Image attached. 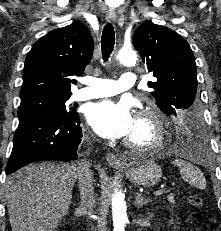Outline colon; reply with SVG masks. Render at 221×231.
Returning <instances> with one entry per match:
<instances>
[{"label":"colon","instance_id":"5ec220e1","mask_svg":"<svg viewBox=\"0 0 221 231\" xmlns=\"http://www.w3.org/2000/svg\"><path fill=\"white\" fill-rule=\"evenodd\" d=\"M189 203L195 207V208H198V209H201L203 208V200L199 197V196H190L189 197Z\"/></svg>","mask_w":221,"mask_h":231}]
</instances>
